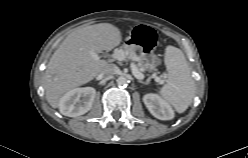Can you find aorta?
Instances as JSON below:
<instances>
[{
  "instance_id": "obj_1",
  "label": "aorta",
  "mask_w": 248,
  "mask_h": 158,
  "mask_svg": "<svg viewBox=\"0 0 248 158\" xmlns=\"http://www.w3.org/2000/svg\"><path fill=\"white\" fill-rule=\"evenodd\" d=\"M117 83L118 85L122 86V85H125L127 83V79L123 76H120L118 79H117Z\"/></svg>"
}]
</instances>
